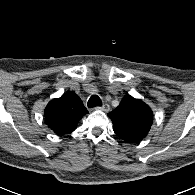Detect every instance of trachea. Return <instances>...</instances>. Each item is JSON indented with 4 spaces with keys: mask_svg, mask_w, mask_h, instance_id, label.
Here are the masks:
<instances>
[{
    "mask_svg": "<svg viewBox=\"0 0 195 195\" xmlns=\"http://www.w3.org/2000/svg\"><path fill=\"white\" fill-rule=\"evenodd\" d=\"M87 105H88L89 108L97 107V106H102V101H101V99H100L99 96L92 95L89 98Z\"/></svg>",
    "mask_w": 195,
    "mask_h": 195,
    "instance_id": "1",
    "label": "trachea"
}]
</instances>
